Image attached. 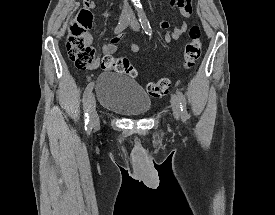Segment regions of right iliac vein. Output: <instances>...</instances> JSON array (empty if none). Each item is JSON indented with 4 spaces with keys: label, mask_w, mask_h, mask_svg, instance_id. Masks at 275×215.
<instances>
[{
    "label": "right iliac vein",
    "mask_w": 275,
    "mask_h": 215,
    "mask_svg": "<svg viewBox=\"0 0 275 215\" xmlns=\"http://www.w3.org/2000/svg\"><path fill=\"white\" fill-rule=\"evenodd\" d=\"M88 111L90 114V122L92 126H96L99 123V116L96 111V99L94 94H91L88 100Z\"/></svg>",
    "instance_id": "1"
}]
</instances>
